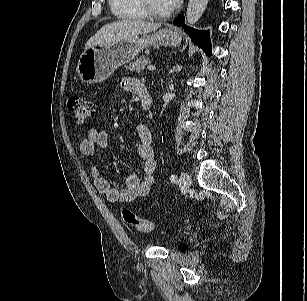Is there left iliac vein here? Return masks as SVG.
<instances>
[{"label":"left iliac vein","mask_w":307,"mask_h":301,"mask_svg":"<svg viewBox=\"0 0 307 301\" xmlns=\"http://www.w3.org/2000/svg\"><path fill=\"white\" fill-rule=\"evenodd\" d=\"M180 185L183 189L188 190L191 186V178L187 172H182L180 177Z\"/></svg>","instance_id":"obj_1"}]
</instances>
